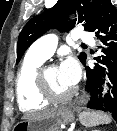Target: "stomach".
Listing matches in <instances>:
<instances>
[{
  "label": "stomach",
  "instance_id": "1",
  "mask_svg": "<svg viewBox=\"0 0 117 131\" xmlns=\"http://www.w3.org/2000/svg\"><path fill=\"white\" fill-rule=\"evenodd\" d=\"M74 121V113L70 105L59 107L53 113L35 119H25L18 122L15 131H61V126Z\"/></svg>",
  "mask_w": 117,
  "mask_h": 131
}]
</instances>
